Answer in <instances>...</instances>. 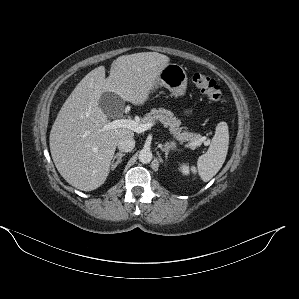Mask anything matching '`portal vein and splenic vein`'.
Masks as SVG:
<instances>
[{"label": "portal vein and splenic vein", "instance_id": "portal-vein-and-splenic-vein-1", "mask_svg": "<svg viewBox=\"0 0 299 299\" xmlns=\"http://www.w3.org/2000/svg\"><path fill=\"white\" fill-rule=\"evenodd\" d=\"M155 122L142 124L131 119H116L104 126V130H111L117 128H128L134 132L141 133L150 129Z\"/></svg>", "mask_w": 299, "mask_h": 299}]
</instances>
